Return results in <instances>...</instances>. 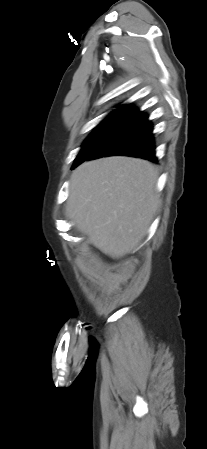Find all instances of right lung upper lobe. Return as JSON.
<instances>
[{"label":"right lung upper lobe","instance_id":"obj_1","mask_svg":"<svg viewBox=\"0 0 207 449\" xmlns=\"http://www.w3.org/2000/svg\"><path fill=\"white\" fill-rule=\"evenodd\" d=\"M115 112H123V113H134V114H139V111H138V110H136V109H134V108H132V107H129L128 105H127V106L120 107V109L116 110Z\"/></svg>","mask_w":207,"mask_h":449}]
</instances>
